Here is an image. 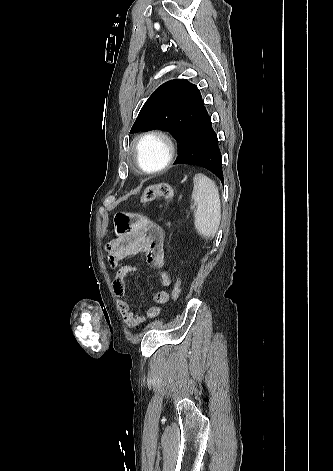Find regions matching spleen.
<instances>
[{
  "instance_id": "3e777b00",
  "label": "spleen",
  "mask_w": 333,
  "mask_h": 471,
  "mask_svg": "<svg viewBox=\"0 0 333 471\" xmlns=\"http://www.w3.org/2000/svg\"><path fill=\"white\" fill-rule=\"evenodd\" d=\"M192 199L197 205L194 225L204 238L211 239L218 231L221 220V202L213 180L202 173L193 178Z\"/></svg>"
}]
</instances>
